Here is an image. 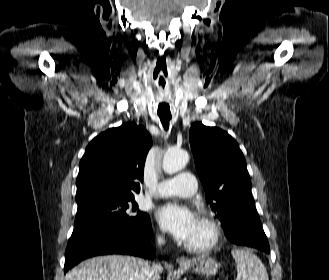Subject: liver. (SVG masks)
<instances>
[{"instance_id":"1","label":"liver","mask_w":329,"mask_h":280,"mask_svg":"<svg viewBox=\"0 0 329 280\" xmlns=\"http://www.w3.org/2000/svg\"><path fill=\"white\" fill-rule=\"evenodd\" d=\"M143 259L123 255H107L88 259L69 271L65 280H139ZM162 267L155 280H159Z\"/></svg>"}]
</instances>
